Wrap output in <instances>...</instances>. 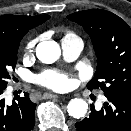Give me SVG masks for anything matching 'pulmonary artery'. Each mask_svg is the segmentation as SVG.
Wrapping results in <instances>:
<instances>
[{
    "instance_id": "obj_1",
    "label": "pulmonary artery",
    "mask_w": 131,
    "mask_h": 131,
    "mask_svg": "<svg viewBox=\"0 0 131 131\" xmlns=\"http://www.w3.org/2000/svg\"><path fill=\"white\" fill-rule=\"evenodd\" d=\"M83 48L81 39L75 36H67L62 39V50L66 60L72 61L76 59Z\"/></svg>"
}]
</instances>
